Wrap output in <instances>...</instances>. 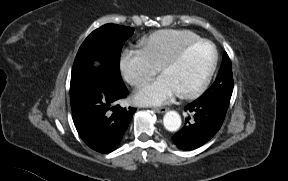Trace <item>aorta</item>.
I'll list each match as a JSON object with an SVG mask.
<instances>
[{"label":"aorta","mask_w":288,"mask_h":181,"mask_svg":"<svg viewBox=\"0 0 288 181\" xmlns=\"http://www.w3.org/2000/svg\"><path fill=\"white\" fill-rule=\"evenodd\" d=\"M181 117L176 111H168L164 115L163 125L170 132L177 131L181 126Z\"/></svg>","instance_id":"762f6f07"}]
</instances>
